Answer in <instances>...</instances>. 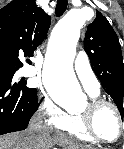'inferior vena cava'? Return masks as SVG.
Instances as JSON below:
<instances>
[{
  "label": "inferior vena cava",
  "mask_w": 124,
  "mask_h": 149,
  "mask_svg": "<svg viewBox=\"0 0 124 149\" xmlns=\"http://www.w3.org/2000/svg\"><path fill=\"white\" fill-rule=\"evenodd\" d=\"M42 119L43 116L41 113H36L32 117L27 130L32 137H39L40 133L46 131V127L43 125Z\"/></svg>",
  "instance_id": "inferior-vena-cava-1"
}]
</instances>
